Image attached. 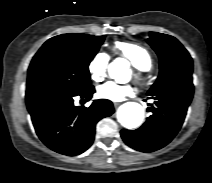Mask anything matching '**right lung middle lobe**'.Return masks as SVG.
Returning <instances> with one entry per match:
<instances>
[{"instance_id":"dd1d6c3e","label":"right lung middle lobe","mask_w":212,"mask_h":183,"mask_svg":"<svg viewBox=\"0 0 212 183\" xmlns=\"http://www.w3.org/2000/svg\"><path fill=\"white\" fill-rule=\"evenodd\" d=\"M105 36L62 34L46 41L33 57L27 86L84 91L91 86L88 66Z\"/></svg>"}]
</instances>
